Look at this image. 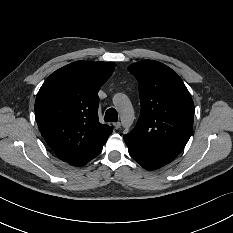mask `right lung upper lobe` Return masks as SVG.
<instances>
[{
	"label": "right lung upper lobe",
	"instance_id": "1",
	"mask_svg": "<svg viewBox=\"0 0 233 233\" xmlns=\"http://www.w3.org/2000/svg\"><path fill=\"white\" fill-rule=\"evenodd\" d=\"M114 68L113 62L77 61L52 73L41 86L36 121L59 159L83 166L101 152L112 128L98 120V91Z\"/></svg>",
	"mask_w": 233,
	"mask_h": 233
}]
</instances>
